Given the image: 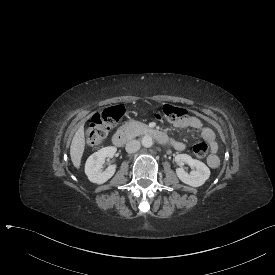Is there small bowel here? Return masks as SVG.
I'll return each instance as SVG.
<instances>
[{"label":"small bowel","instance_id":"obj_1","mask_svg":"<svg viewBox=\"0 0 275 275\" xmlns=\"http://www.w3.org/2000/svg\"><path fill=\"white\" fill-rule=\"evenodd\" d=\"M174 126L179 129L190 128L194 131H200L202 139L205 140L211 147L212 153L208 158L209 166L216 168L219 165V158L216 154L218 145L215 141V134L210 128H203L202 122L198 117L189 116L183 120L174 122ZM173 146L179 151H183L186 148L185 144L179 141H174Z\"/></svg>","mask_w":275,"mask_h":275}]
</instances>
